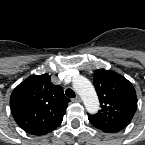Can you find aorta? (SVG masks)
Segmentation results:
<instances>
[{
  "label": "aorta",
  "instance_id": "1",
  "mask_svg": "<svg viewBox=\"0 0 145 145\" xmlns=\"http://www.w3.org/2000/svg\"><path fill=\"white\" fill-rule=\"evenodd\" d=\"M73 88L82 98L86 110L94 114L99 110V99L92 83L83 76L73 81Z\"/></svg>",
  "mask_w": 145,
  "mask_h": 145
}]
</instances>
